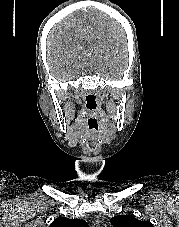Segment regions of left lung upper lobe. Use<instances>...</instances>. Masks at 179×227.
I'll return each instance as SVG.
<instances>
[{"label":"left lung upper lobe","mask_w":179,"mask_h":227,"mask_svg":"<svg viewBox=\"0 0 179 227\" xmlns=\"http://www.w3.org/2000/svg\"><path fill=\"white\" fill-rule=\"evenodd\" d=\"M114 227H153L149 221H141L131 215H117L110 219Z\"/></svg>","instance_id":"5c2ea615"}]
</instances>
